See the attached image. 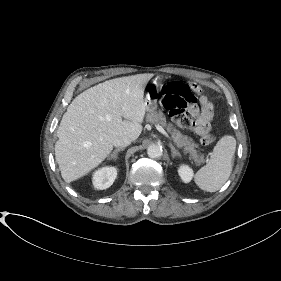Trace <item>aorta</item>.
<instances>
[{"label":"aorta","instance_id":"762f6f07","mask_svg":"<svg viewBox=\"0 0 281 281\" xmlns=\"http://www.w3.org/2000/svg\"><path fill=\"white\" fill-rule=\"evenodd\" d=\"M147 154L150 158H159L163 154L162 147L156 144H152L148 147Z\"/></svg>","mask_w":281,"mask_h":281}]
</instances>
